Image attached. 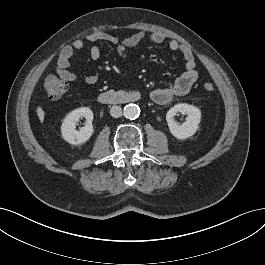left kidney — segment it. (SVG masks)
Returning <instances> with one entry per match:
<instances>
[{
    "label": "left kidney",
    "instance_id": "1",
    "mask_svg": "<svg viewBox=\"0 0 265 265\" xmlns=\"http://www.w3.org/2000/svg\"><path fill=\"white\" fill-rule=\"evenodd\" d=\"M178 112L187 115L186 122L181 125L174 120V116ZM166 120L171 134L177 139L184 140L196 133L201 121V111L197 107L186 103L176 104L167 112Z\"/></svg>",
    "mask_w": 265,
    "mask_h": 265
}]
</instances>
